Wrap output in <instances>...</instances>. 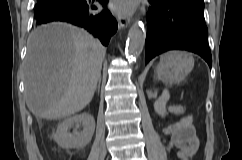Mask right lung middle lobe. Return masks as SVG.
Returning a JSON list of instances; mask_svg holds the SVG:
<instances>
[{
	"instance_id": "1",
	"label": "right lung middle lobe",
	"mask_w": 242,
	"mask_h": 160,
	"mask_svg": "<svg viewBox=\"0 0 242 160\" xmlns=\"http://www.w3.org/2000/svg\"><path fill=\"white\" fill-rule=\"evenodd\" d=\"M40 1H44V0H38V2H40Z\"/></svg>"
}]
</instances>
